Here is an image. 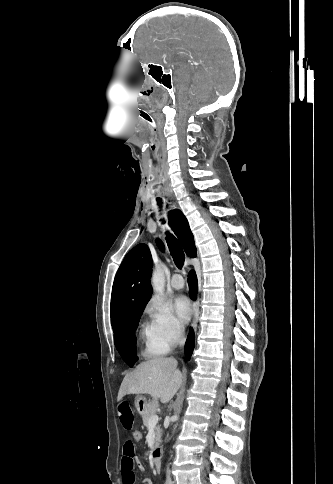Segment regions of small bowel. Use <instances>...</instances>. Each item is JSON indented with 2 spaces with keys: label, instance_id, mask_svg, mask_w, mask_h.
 <instances>
[{
  "label": "small bowel",
  "instance_id": "1",
  "mask_svg": "<svg viewBox=\"0 0 333 484\" xmlns=\"http://www.w3.org/2000/svg\"><path fill=\"white\" fill-rule=\"evenodd\" d=\"M117 416L121 427L127 431L134 429V413L130 403L127 400H122L117 406ZM137 464L141 469L142 466L135 455L134 444L131 440H126L123 445V454L121 459L122 481L123 484H135L134 466ZM146 484H150L149 480H144Z\"/></svg>",
  "mask_w": 333,
  "mask_h": 484
}]
</instances>
